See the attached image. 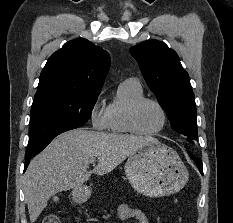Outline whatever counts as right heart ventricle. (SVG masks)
Here are the masks:
<instances>
[{"mask_svg":"<svg viewBox=\"0 0 233 223\" xmlns=\"http://www.w3.org/2000/svg\"><path fill=\"white\" fill-rule=\"evenodd\" d=\"M142 97L144 91L137 80L129 79L120 83L115 97L106 108L107 129L116 134H134L129 127L128 112L131 105Z\"/></svg>","mask_w":233,"mask_h":223,"instance_id":"1","label":"right heart ventricle"}]
</instances>
